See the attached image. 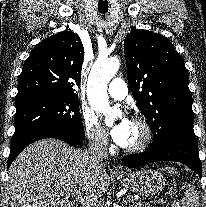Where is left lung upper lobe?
<instances>
[{"mask_svg": "<svg viewBox=\"0 0 206 207\" xmlns=\"http://www.w3.org/2000/svg\"><path fill=\"white\" fill-rule=\"evenodd\" d=\"M127 78L147 118L156 148L180 134H194L189 74L181 55L163 35L135 30L124 40Z\"/></svg>", "mask_w": 206, "mask_h": 207, "instance_id": "5c2ea615", "label": "left lung upper lobe"}]
</instances>
